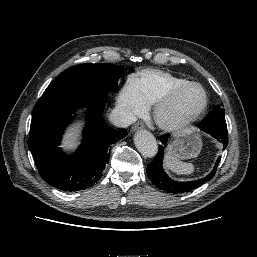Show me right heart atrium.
<instances>
[{"label": "right heart atrium", "instance_id": "obj_1", "mask_svg": "<svg viewBox=\"0 0 257 257\" xmlns=\"http://www.w3.org/2000/svg\"><path fill=\"white\" fill-rule=\"evenodd\" d=\"M117 102L126 117L130 120L143 115L148 110V105L142 99L135 78H129L119 92Z\"/></svg>", "mask_w": 257, "mask_h": 257}]
</instances>
